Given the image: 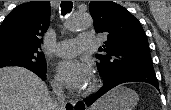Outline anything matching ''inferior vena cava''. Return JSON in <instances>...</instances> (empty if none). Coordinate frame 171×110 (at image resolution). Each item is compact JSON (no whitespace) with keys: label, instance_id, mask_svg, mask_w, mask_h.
<instances>
[{"label":"inferior vena cava","instance_id":"602c4592","mask_svg":"<svg viewBox=\"0 0 171 110\" xmlns=\"http://www.w3.org/2000/svg\"><path fill=\"white\" fill-rule=\"evenodd\" d=\"M53 91L57 97V100L54 101L53 110H61L64 105L65 94L60 83L54 82L52 84Z\"/></svg>","mask_w":171,"mask_h":110}]
</instances>
